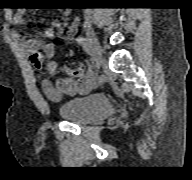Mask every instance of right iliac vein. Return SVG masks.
I'll return each instance as SVG.
<instances>
[{
    "instance_id": "1",
    "label": "right iliac vein",
    "mask_w": 192,
    "mask_h": 180,
    "mask_svg": "<svg viewBox=\"0 0 192 180\" xmlns=\"http://www.w3.org/2000/svg\"><path fill=\"white\" fill-rule=\"evenodd\" d=\"M84 30L86 32V35L90 41L91 48H92V55L95 60L96 67H100L101 62H102V50L100 47V43L95 35V32L93 28L91 27L90 24H85L84 25Z\"/></svg>"
}]
</instances>
